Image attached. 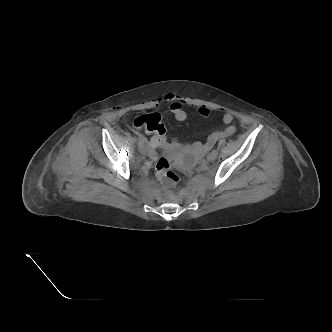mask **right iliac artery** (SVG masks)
<instances>
[{
    "label": "right iliac artery",
    "instance_id": "82829eb1",
    "mask_svg": "<svg viewBox=\"0 0 332 332\" xmlns=\"http://www.w3.org/2000/svg\"><path fill=\"white\" fill-rule=\"evenodd\" d=\"M138 139L145 142V138L142 134H138Z\"/></svg>",
    "mask_w": 332,
    "mask_h": 332
}]
</instances>
